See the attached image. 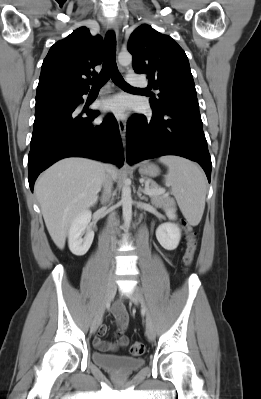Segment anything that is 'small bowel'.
<instances>
[{"label": "small bowel", "mask_w": 261, "mask_h": 399, "mask_svg": "<svg viewBox=\"0 0 261 399\" xmlns=\"http://www.w3.org/2000/svg\"><path fill=\"white\" fill-rule=\"evenodd\" d=\"M113 316L117 323V339L114 342H107L103 337L107 333L106 325L99 327L97 336L94 339V345L101 351L112 352L118 349L126 348L129 344V339L125 332L129 325L128 315L122 304H116L113 309Z\"/></svg>", "instance_id": "c3829d8e"}]
</instances>
